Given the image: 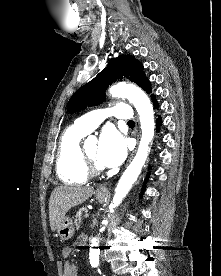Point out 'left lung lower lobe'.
<instances>
[{
  "label": "left lung lower lobe",
  "mask_w": 221,
  "mask_h": 276,
  "mask_svg": "<svg viewBox=\"0 0 221 276\" xmlns=\"http://www.w3.org/2000/svg\"><path fill=\"white\" fill-rule=\"evenodd\" d=\"M152 100H153V102H154L155 108H158V107H159V104H158L157 100L155 99V97L152 96ZM156 123H157V130H159V126H160L161 123H162V120H161V117H160V116H159L158 119L156 120ZM146 182H147V179H145V181H144L143 188H142L143 190H145V184H146ZM140 198H142V195H140Z\"/></svg>",
  "instance_id": "left-lung-lower-lobe-1"
}]
</instances>
